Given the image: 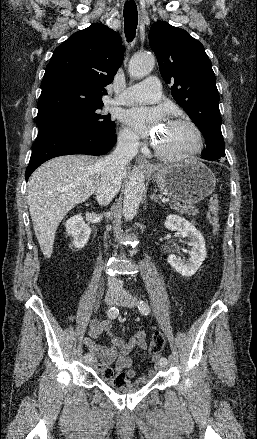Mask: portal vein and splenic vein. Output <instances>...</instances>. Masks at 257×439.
<instances>
[{
  "instance_id": "obj_1",
  "label": "portal vein and splenic vein",
  "mask_w": 257,
  "mask_h": 439,
  "mask_svg": "<svg viewBox=\"0 0 257 439\" xmlns=\"http://www.w3.org/2000/svg\"><path fill=\"white\" fill-rule=\"evenodd\" d=\"M168 201H169L168 198H162V202H163V203H166V202H168Z\"/></svg>"
}]
</instances>
